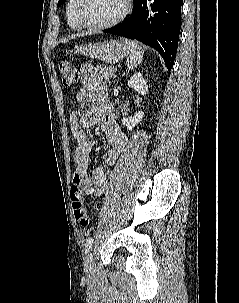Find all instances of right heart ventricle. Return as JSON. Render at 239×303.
<instances>
[{
  "mask_svg": "<svg viewBox=\"0 0 239 303\" xmlns=\"http://www.w3.org/2000/svg\"><path fill=\"white\" fill-rule=\"evenodd\" d=\"M73 5H74V0H68L66 5L67 22L69 27L72 28L73 30H80L81 27L78 25L73 15Z\"/></svg>",
  "mask_w": 239,
  "mask_h": 303,
  "instance_id": "obj_1",
  "label": "right heart ventricle"
}]
</instances>
